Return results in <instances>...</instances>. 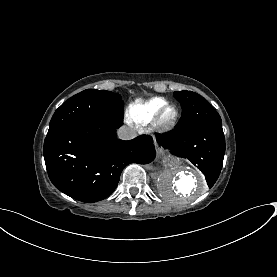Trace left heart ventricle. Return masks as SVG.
<instances>
[{
    "instance_id": "left-heart-ventricle-1",
    "label": "left heart ventricle",
    "mask_w": 277,
    "mask_h": 277,
    "mask_svg": "<svg viewBox=\"0 0 277 277\" xmlns=\"http://www.w3.org/2000/svg\"><path fill=\"white\" fill-rule=\"evenodd\" d=\"M174 115V109L170 108L168 109L164 114V120L170 121L173 118Z\"/></svg>"
}]
</instances>
